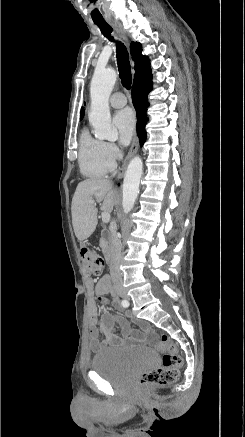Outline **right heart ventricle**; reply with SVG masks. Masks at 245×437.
I'll return each instance as SVG.
<instances>
[{
	"instance_id": "1",
	"label": "right heart ventricle",
	"mask_w": 245,
	"mask_h": 437,
	"mask_svg": "<svg viewBox=\"0 0 245 437\" xmlns=\"http://www.w3.org/2000/svg\"><path fill=\"white\" fill-rule=\"evenodd\" d=\"M78 158L81 173L86 177L103 178L112 171L104 159L103 142L94 138L87 128L80 134Z\"/></svg>"
}]
</instances>
